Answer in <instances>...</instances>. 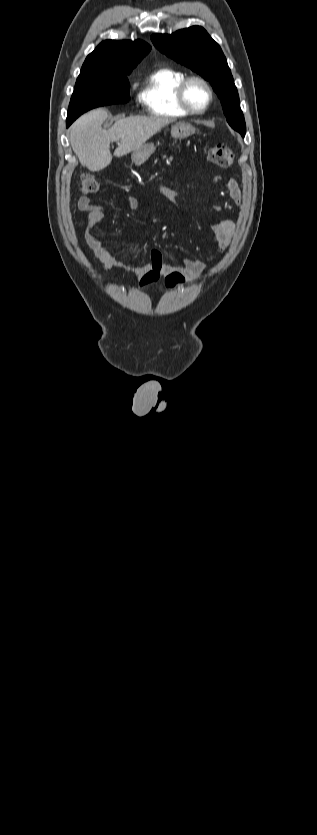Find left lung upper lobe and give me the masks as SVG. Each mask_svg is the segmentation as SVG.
I'll list each match as a JSON object with an SVG mask.
<instances>
[{"mask_svg": "<svg viewBox=\"0 0 317 835\" xmlns=\"http://www.w3.org/2000/svg\"><path fill=\"white\" fill-rule=\"evenodd\" d=\"M151 40L160 52L210 81L221 100L227 122L245 136L246 124L230 68L220 46L206 30L192 26L171 35L154 34Z\"/></svg>", "mask_w": 317, "mask_h": 835, "instance_id": "1", "label": "left lung upper lobe"}]
</instances>
